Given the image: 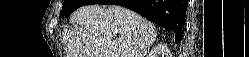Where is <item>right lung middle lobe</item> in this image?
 I'll return each instance as SVG.
<instances>
[{
    "label": "right lung middle lobe",
    "mask_w": 249,
    "mask_h": 57,
    "mask_svg": "<svg viewBox=\"0 0 249 57\" xmlns=\"http://www.w3.org/2000/svg\"><path fill=\"white\" fill-rule=\"evenodd\" d=\"M94 2L93 0H64L62 11L60 12V17L70 15L77 8L88 5Z\"/></svg>",
    "instance_id": "obj_1"
}]
</instances>
